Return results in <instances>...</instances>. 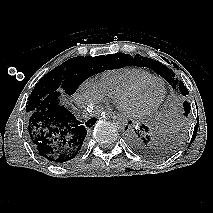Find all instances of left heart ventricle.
Segmentation results:
<instances>
[{
    "label": "left heart ventricle",
    "instance_id": "1",
    "mask_svg": "<svg viewBox=\"0 0 213 213\" xmlns=\"http://www.w3.org/2000/svg\"><path fill=\"white\" fill-rule=\"evenodd\" d=\"M162 94V85L158 80L146 82L132 97L126 105L131 109H139L157 102Z\"/></svg>",
    "mask_w": 213,
    "mask_h": 213
}]
</instances>
